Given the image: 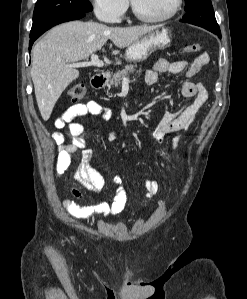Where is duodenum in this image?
I'll use <instances>...</instances> for the list:
<instances>
[{
	"label": "duodenum",
	"mask_w": 247,
	"mask_h": 299,
	"mask_svg": "<svg viewBox=\"0 0 247 299\" xmlns=\"http://www.w3.org/2000/svg\"><path fill=\"white\" fill-rule=\"evenodd\" d=\"M108 76L109 75L107 72H102L94 75L91 80L92 87L95 89L103 88L108 80Z\"/></svg>",
	"instance_id": "obj_1"
}]
</instances>
